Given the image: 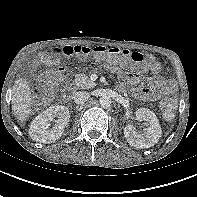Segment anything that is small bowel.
Segmentation results:
<instances>
[{
  "label": "small bowel",
  "mask_w": 197,
  "mask_h": 197,
  "mask_svg": "<svg viewBox=\"0 0 197 197\" xmlns=\"http://www.w3.org/2000/svg\"><path fill=\"white\" fill-rule=\"evenodd\" d=\"M120 66L124 69L125 78V82L120 85L122 90L129 89L133 96L140 100L154 101L164 96L172 98L175 86L171 80L161 76L162 66L159 62H153L150 66L151 76L146 84L141 82L138 73L129 69L127 62L120 61Z\"/></svg>",
  "instance_id": "small-bowel-1"
}]
</instances>
